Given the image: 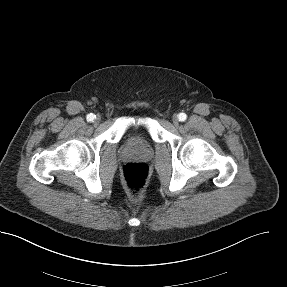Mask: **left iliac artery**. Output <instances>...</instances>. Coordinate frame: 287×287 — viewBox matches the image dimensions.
Masks as SVG:
<instances>
[{"label": "left iliac artery", "mask_w": 287, "mask_h": 287, "mask_svg": "<svg viewBox=\"0 0 287 287\" xmlns=\"http://www.w3.org/2000/svg\"><path fill=\"white\" fill-rule=\"evenodd\" d=\"M178 118H179L180 121H185L186 118H187V115L185 113H180L178 115Z\"/></svg>", "instance_id": "obj_1"}]
</instances>
